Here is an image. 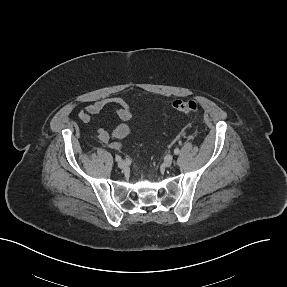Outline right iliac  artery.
Masks as SVG:
<instances>
[{
  "label": "right iliac artery",
  "mask_w": 287,
  "mask_h": 287,
  "mask_svg": "<svg viewBox=\"0 0 287 287\" xmlns=\"http://www.w3.org/2000/svg\"><path fill=\"white\" fill-rule=\"evenodd\" d=\"M115 160H116V161H120V160H121V156L116 155V156H115Z\"/></svg>",
  "instance_id": "1"
}]
</instances>
